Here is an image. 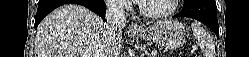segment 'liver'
I'll return each instance as SVG.
<instances>
[{
  "label": "liver",
  "mask_w": 249,
  "mask_h": 57,
  "mask_svg": "<svg viewBox=\"0 0 249 57\" xmlns=\"http://www.w3.org/2000/svg\"><path fill=\"white\" fill-rule=\"evenodd\" d=\"M122 32L108 34L103 19L89 9L65 4L40 23L35 57H119Z\"/></svg>",
  "instance_id": "1"
}]
</instances>
